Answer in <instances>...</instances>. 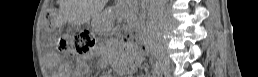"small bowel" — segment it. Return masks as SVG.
I'll list each match as a JSON object with an SVG mask.
<instances>
[{
  "label": "small bowel",
  "instance_id": "small-bowel-1",
  "mask_svg": "<svg viewBox=\"0 0 258 77\" xmlns=\"http://www.w3.org/2000/svg\"><path fill=\"white\" fill-rule=\"evenodd\" d=\"M54 55H55L54 53L50 54L51 57ZM126 59H127L126 62L123 64L124 69L126 71H132L138 65V63L141 61L142 54L140 52L128 51L126 53ZM61 68L65 69L66 66L64 64H61Z\"/></svg>",
  "mask_w": 258,
  "mask_h": 77
}]
</instances>
